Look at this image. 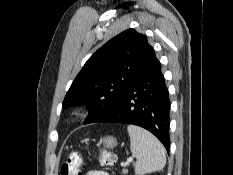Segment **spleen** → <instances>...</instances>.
I'll list each match as a JSON object with an SVG mask.
<instances>
[{"label": "spleen", "instance_id": "1", "mask_svg": "<svg viewBox=\"0 0 233 175\" xmlns=\"http://www.w3.org/2000/svg\"><path fill=\"white\" fill-rule=\"evenodd\" d=\"M130 148L136 158L135 173L143 175L161 171L166 164L165 148L161 142L147 130L129 125Z\"/></svg>", "mask_w": 233, "mask_h": 175}]
</instances>
